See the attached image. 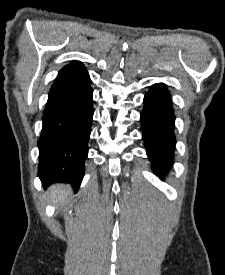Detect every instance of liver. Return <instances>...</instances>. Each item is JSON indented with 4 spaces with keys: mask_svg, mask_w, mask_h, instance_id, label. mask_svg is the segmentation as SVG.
I'll list each match as a JSON object with an SVG mask.
<instances>
[{
    "mask_svg": "<svg viewBox=\"0 0 225 275\" xmlns=\"http://www.w3.org/2000/svg\"><path fill=\"white\" fill-rule=\"evenodd\" d=\"M51 202L57 205H62L65 199L70 194V187L68 185H53L48 190Z\"/></svg>",
    "mask_w": 225,
    "mask_h": 275,
    "instance_id": "obj_1",
    "label": "liver"
}]
</instances>
